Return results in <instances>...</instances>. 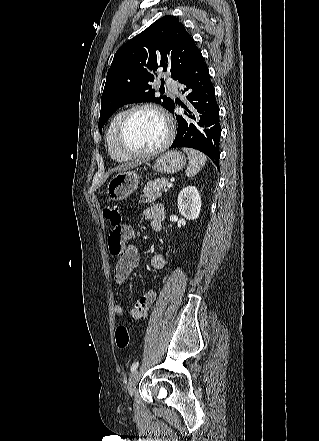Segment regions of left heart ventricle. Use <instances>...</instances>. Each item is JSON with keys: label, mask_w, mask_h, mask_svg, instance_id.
Segmentation results:
<instances>
[{"label": "left heart ventricle", "mask_w": 319, "mask_h": 441, "mask_svg": "<svg viewBox=\"0 0 319 441\" xmlns=\"http://www.w3.org/2000/svg\"><path fill=\"white\" fill-rule=\"evenodd\" d=\"M166 136V126L161 117L149 110L134 113L123 132V142L127 148L145 152L159 146Z\"/></svg>", "instance_id": "b2bd125f"}]
</instances>
